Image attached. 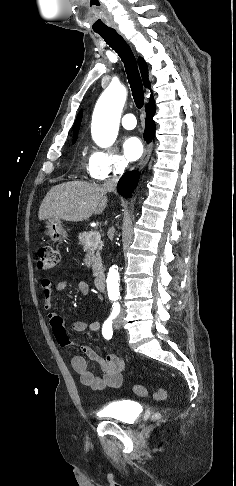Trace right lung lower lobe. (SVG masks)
<instances>
[{
	"mask_svg": "<svg viewBox=\"0 0 236 486\" xmlns=\"http://www.w3.org/2000/svg\"><path fill=\"white\" fill-rule=\"evenodd\" d=\"M155 114V103L151 99L146 105V128L144 132V138L147 142H150L154 136L155 123L153 116ZM138 182V172L131 171L125 173L118 182V192L124 197H131L133 188L136 187Z\"/></svg>",
	"mask_w": 236,
	"mask_h": 486,
	"instance_id": "1",
	"label": "right lung lower lobe"
}]
</instances>
